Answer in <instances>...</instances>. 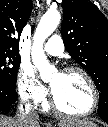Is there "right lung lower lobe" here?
Listing matches in <instances>:
<instances>
[{"instance_id":"1","label":"right lung lower lobe","mask_w":108,"mask_h":127,"mask_svg":"<svg viewBox=\"0 0 108 127\" xmlns=\"http://www.w3.org/2000/svg\"><path fill=\"white\" fill-rule=\"evenodd\" d=\"M17 97L15 85L0 82V111L8 112Z\"/></svg>"}]
</instances>
